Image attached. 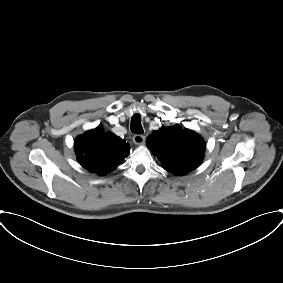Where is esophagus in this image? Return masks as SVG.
<instances>
[{
    "mask_svg": "<svg viewBox=\"0 0 283 283\" xmlns=\"http://www.w3.org/2000/svg\"><path fill=\"white\" fill-rule=\"evenodd\" d=\"M133 142L136 144V145H142L144 144L145 142V136L141 135V134H135L133 136Z\"/></svg>",
    "mask_w": 283,
    "mask_h": 283,
    "instance_id": "esophagus-1",
    "label": "esophagus"
}]
</instances>
